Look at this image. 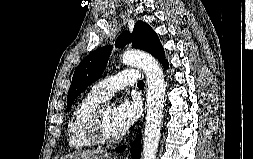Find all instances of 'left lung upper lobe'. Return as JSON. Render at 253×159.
Returning <instances> with one entry per match:
<instances>
[{
    "instance_id": "1",
    "label": "left lung upper lobe",
    "mask_w": 253,
    "mask_h": 159,
    "mask_svg": "<svg viewBox=\"0 0 253 159\" xmlns=\"http://www.w3.org/2000/svg\"><path fill=\"white\" fill-rule=\"evenodd\" d=\"M130 39L133 47L147 51L161 63L165 61V52L160 40L147 23L136 22L132 34L128 31L122 32L116 40V47L125 46L130 42ZM110 53L111 46L99 48L84 58L77 66L67 96V111L77 96L102 75Z\"/></svg>"
}]
</instances>
